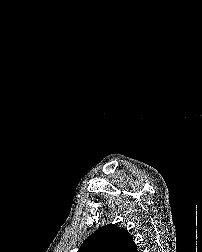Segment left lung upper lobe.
I'll use <instances>...</instances> for the list:
<instances>
[{"label":"left lung upper lobe","mask_w":202,"mask_h":252,"mask_svg":"<svg viewBox=\"0 0 202 252\" xmlns=\"http://www.w3.org/2000/svg\"><path fill=\"white\" fill-rule=\"evenodd\" d=\"M78 252H137V246L127 230L108 224L89 236Z\"/></svg>","instance_id":"5c2ea615"}]
</instances>
